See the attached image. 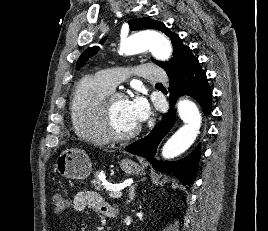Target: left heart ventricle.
Listing matches in <instances>:
<instances>
[{"instance_id":"b2bd125f","label":"left heart ventricle","mask_w":268,"mask_h":231,"mask_svg":"<svg viewBox=\"0 0 268 231\" xmlns=\"http://www.w3.org/2000/svg\"><path fill=\"white\" fill-rule=\"evenodd\" d=\"M113 119L115 126L121 132L131 131L139 125L131 110L128 99H121L115 102L113 107Z\"/></svg>"}]
</instances>
